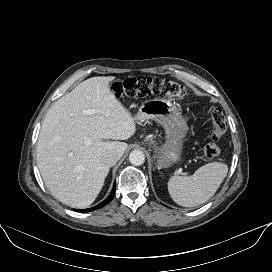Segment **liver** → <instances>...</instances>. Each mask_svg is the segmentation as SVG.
Segmentation results:
<instances>
[{"label": "liver", "instance_id": "6515ba94", "mask_svg": "<svg viewBox=\"0 0 272 272\" xmlns=\"http://www.w3.org/2000/svg\"><path fill=\"white\" fill-rule=\"evenodd\" d=\"M114 79L83 81L52 105L42 123L38 167L46 187L70 207L86 208L94 202L110 168L103 154L112 151L121 157L128 144L117 140H127L136 131L133 116L109 87Z\"/></svg>", "mask_w": 272, "mask_h": 272}]
</instances>
